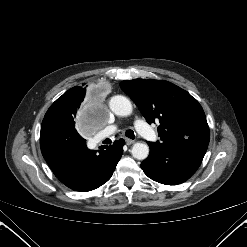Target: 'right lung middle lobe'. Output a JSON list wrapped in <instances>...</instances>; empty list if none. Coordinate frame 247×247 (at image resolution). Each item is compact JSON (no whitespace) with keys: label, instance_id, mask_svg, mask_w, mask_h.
I'll use <instances>...</instances> for the list:
<instances>
[{"label":"right lung middle lobe","instance_id":"dd1d6c3e","mask_svg":"<svg viewBox=\"0 0 247 247\" xmlns=\"http://www.w3.org/2000/svg\"><path fill=\"white\" fill-rule=\"evenodd\" d=\"M81 101L71 96L58 98L48 109L44 118H53L75 125Z\"/></svg>","mask_w":247,"mask_h":247}]
</instances>
